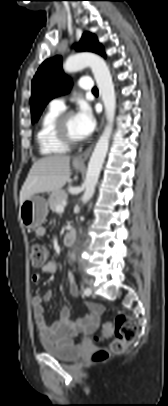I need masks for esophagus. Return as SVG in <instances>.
<instances>
[{"label": "esophagus", "mask_w": 168, "mask_h": 406, "mask_svg": "<svg viewBox=\"0 0 168 406\" xmlns=\"http://www.w3.org/2000/svg\"><path fill=\"white\" fill-rule=\"evenodd\" d=\"M100 101H101V98H100ZM104 116H105V113L103 112L102 117H101L100 126H99V132L101 131L102 126H103V123H104ZM93 146H94V143H92V144H91L86 150H84L82 153H80V154H78L77 156H75L74 159H73L74 163L83 165V164L86 162V160L88 159V157L90 156V153H91V151H92Z\"/></svg>", "instance_id": "obj_1"}]
</instances>
